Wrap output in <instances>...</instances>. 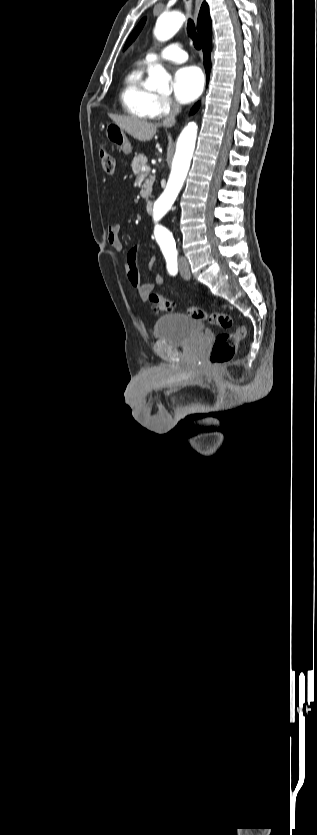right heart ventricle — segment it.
Returning a JSON list of instances; mask_svg holds the SVG:
<instances>
[{
  "mask_svg": "<svg viewBox=\"0 0 317 835\" xmlns=\"http://www.w3.org/2000/svg\"><path fill=\"white\" fill-rule=\"evenodd\" d=\"M142 66V62L138 63L124 77L120 100L129 115L139 119H150L153 118L157 95L145 87Z\"/></svg>",
  "mask_w": 317,
  "mask_h": 835,
  "instance_id": "obj_1",
  "label": "right heart ventricle"
}]
</instances>
